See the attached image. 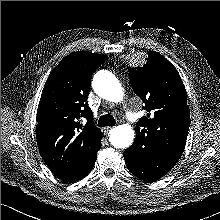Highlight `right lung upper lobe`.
<instances>
[{
	"instance_id": "cb5924a9",
	"label": "right lung upper lobe",
	"mask_w": 220,
	"mask_h": 220,
	"mask_svg": "<svg viewBox=\"0 0 220 220\" xmlns=\"http://www.w3.org/2000/svg\"><path fill=\"white\" fill-rule=\"evenodd\" d=\"M108 57L91 52L66 56L50 73L37 110L36 138L51 171L65 182L82 177L97 157L102 134L87 103L91 77ZM85 117L87 123L80 121Z\"/></svg>"
}]
</instances>
